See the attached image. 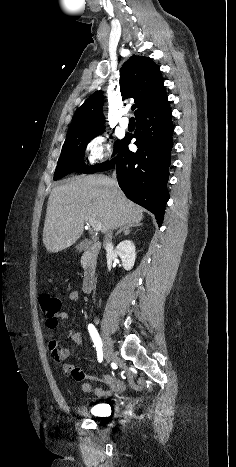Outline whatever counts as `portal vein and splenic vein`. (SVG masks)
Returning a JSON list of instances; mask_svg holds the SVG:
<instances>
[{
    "mask_svg": "<svg viewBox=\"0 0 236 467\" xmlns=\"http://www.w3.org/2000/svg\"><path fill=\"white\" fill-rule=\"evenodd\" d=\"M89 223L92 225L94 231H100L102 228L101 223L95 222L92 219L89 220Z\"/></svg>",
    "mask_w": 236,
    "mask_h": 467,
    "instance_id": "portal-vein-and-splenic-vein-1",
    "label": "portal vein and splenic vein"
}]
</instances>
